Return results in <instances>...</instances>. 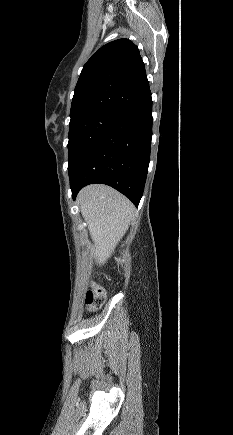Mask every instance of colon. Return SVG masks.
Instances as JSON below:
<instances>
[{"mask_svg":"<svg viewBox=\"0 0 233 435\" xmlns=\"http://www.w3.org/2000/svg\"><path fill=\"white\" fill-rule=\"evenodd\" d=\"M105 302L104 290L97 284H92L85 294V304L91 311L100 309Z\"/></svg>","mask_w":233,"mask_h":435,"instance_id":"colon-1","label":"colon"}]
</instances>
